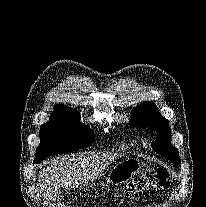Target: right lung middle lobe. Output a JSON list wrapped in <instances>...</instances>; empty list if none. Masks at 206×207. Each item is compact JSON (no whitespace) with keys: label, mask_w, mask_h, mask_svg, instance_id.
I'll return each mask as SVG.
<instances>
[{"label":"right lung middle lobe","mask_w":206,"mask_h":207,"mask_svg":"<svg viewBox=\"0 0 206 207\" xmlns=\"http://www.w3.org/2000/svg\"><path fill=\"white\" fill-rule=\"evenodd\" d=\"M78 112L55 110L50 120L40 129L41 143L36 158L43 160L54 154L72 152L87 147L94 141V133L77 120Z\"/></svg>","instance_id":"dd1d6c3e"}]
</instances>
